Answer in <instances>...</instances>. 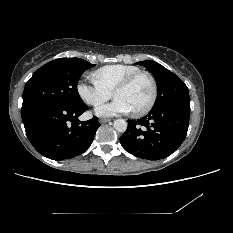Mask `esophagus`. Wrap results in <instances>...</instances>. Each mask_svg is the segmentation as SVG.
I'll return each instance as SVG.
<instances>
[{
	"label": "esophagus",
	"instance_id": "34e87169",
	"mask_svg": "<svg viewBox=\"0 0 233 233\" xmlns=\"http://www.w3.org/2000/svg\"><path fill=\"white\" fill-rule=\"evenodd\" d=\"M99 122H100L101 124H105V123L111 122V120H110V119L101 118V119L99 120Z\"/></svg>",
	"mask_w": 233,
	"mask_h": 233
}]
</instances>
